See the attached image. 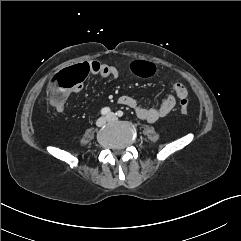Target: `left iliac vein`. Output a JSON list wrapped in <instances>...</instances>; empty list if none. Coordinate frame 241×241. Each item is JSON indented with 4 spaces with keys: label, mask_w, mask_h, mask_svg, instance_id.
Segmentation results:
<instances>
[{
    "label": "left iliac vein",
    "mask_w": 241,
    "mask_h": 241,
    "mask_svg": "<svg viewBox=\"0 0 241 241\" xmlns=\"http://www.w3.org/2000/svg\"><path fill=\"white\" fill-rule=\"evenodd\" d=\"M107 118H108V121H114V120H116V116H115L114 113L108 114Z\"/></svg>",
    "instance_id": "4c4485c4"
}]
</instances>
